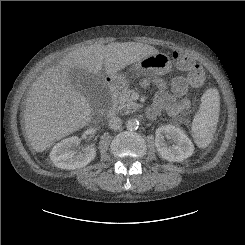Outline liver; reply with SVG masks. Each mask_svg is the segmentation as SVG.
Instances as JSON below:
<instances>
[{"instance_id": "obj_1", "label": "liver", "mask_w": 245, "mask_h": 245, "mask_svg": "<svg viewBox=\"0 0 245 245\" xmlns=\"http://www.w3.org/2000/svg\"><path fill=\"white\" fill-rule=\"evenodd\" d=\"M159 51L136 42L95 43L68 53L58 66L48 69L36 82L24 109L25 133L36 152H43L55 141L87 126L92 119L91 105L85 95L71 83L73 68L97 77L104 66L108 75Z\"/></svg>"}]
</instances>
